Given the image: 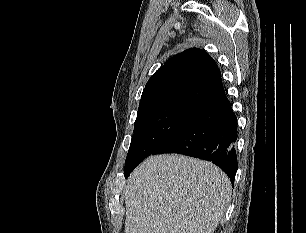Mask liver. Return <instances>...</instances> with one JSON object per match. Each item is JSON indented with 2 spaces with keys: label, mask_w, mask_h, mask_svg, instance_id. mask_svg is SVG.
<instances>
[{
  "label": "liver",
  "mask_w": 306,
  "mask_h": 233,
  "mask_svg": "<svg viewBox=\"0 0 306 233\" xmlns=\"http://www.w3.org/2000/svg\"><path fill=\"white\" fill-rule=\"evenodd\" d=\"M231 191L227 175L210 162L176 154L150 156L125 188V232L213 233Z\"/></svg>",
  "instance_id": "obj_1"
}]
</instances>
